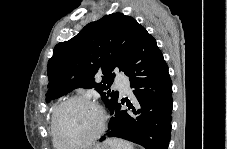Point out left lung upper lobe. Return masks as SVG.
Here are the masks:
<instances>
[{
	"instance_id": "obj_1",
	"label": "left lung upper lobe",
	"mask_w": 227,
	"mask_h": 149,
	"mask_svg": "<svg viewBox=\"0 0 227 149\" xmlns=\"http://www.w3.org/2000/svg\"><path fill=\"white\" fill-rule=\"evenodd\" d=\"M139 27L134 18L113 13L57 44L47 67L46 102L76 88H94L110 109L119 98L117 91H110L115 76L112 71H124ZM97 74H102L101 82L95 81Z\"/></svg>"
}]
</instances>
